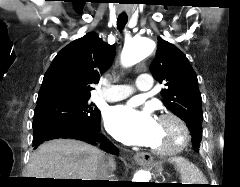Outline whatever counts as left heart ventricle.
<instances>
[{"label": "left heart ventricle", "instance_id": "obj_1", "mask_svg": "<svg viewBox=\"0 0 240 187\" xmlns=\"http://www.w3.org/2000/svg\"><path fill=\"white\" fill-rule=\"evenodd\" d=\"M178 140L176 126L170 121H158V131L156 138L151 145L153 148H164L171 146Z\"/></svg>", "mask_w": 240, "mask_h": 187}]
</instances>
